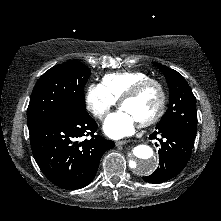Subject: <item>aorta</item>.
Segmentation results:
<instances>
[{
    "mask_svg": "<svg viewBox=\"0 0 221 221\" xmlns=\"http://www.w3.org/2000/svg\"><path fill=\"white\" fill-rule=\"evenodd\" d=\"M132 155L130 167L134 173L139 175L151 174L157 168V158L149 145H137L133 148Z\"/></svg>",
    "mask_w": 221,
    "mask_h": 221,
    "instance_id": "1",
    "label": "aorta"
}]
</instances>
